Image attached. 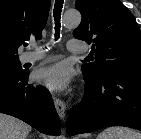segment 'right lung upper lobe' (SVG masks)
<instances>
[{"label": "right lung upper lobe", "mask_w": 141, "mask_h": 139, "mask_svg": "<svg viewBox=\"0 0 141 139\" xmlns=\"http://www.w3.org/2000/svg\"><path fill=\"white\" fill-rule=\"evenodd\" d=\"M51 0H0V56L18 57V47L40 40Z\"/></svg>", "instance_id": "right-lung-upper-lobe-1"}]
</instances>
